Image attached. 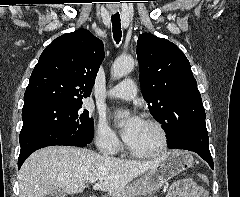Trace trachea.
<instances>
[{
    "mask_svg": "<svg viewBox=\"0 0 240 197\" xmlns=\"http://www.w3.org/2000/svg\"><path fill=\"white\" fill-rule=\"evenodd\" d=\"M111 20H112V26H113V38L116 41V43H119L122 37L119 13L112 15Z\"/></svg>",
    "mask_w": 240,
    "mask_h": 197,
    "instance_id": "3493384b",
    "label": "trachea"
}]
</instances>
